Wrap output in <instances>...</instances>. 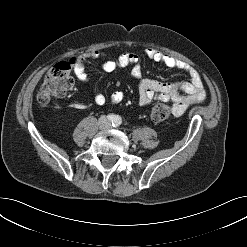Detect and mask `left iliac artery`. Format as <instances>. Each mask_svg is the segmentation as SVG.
Returning a JSON list of instances; mask_svg holds the SVG:
<instances>
[{"label":"left iliac artery","instance_id":"left-iliac-artery-1","mask_svg":"<svg viewBox=\"0 0 247 247\" xmlns=\"http://www.w3.org/2000/svg\"><path fill=\"white\" fill-rule=\"evenodd\" d=\"M121 124V119L116 118L115 122L112 124L114 127H118Z\"/></svg>","mask_w":247,"mask_h":247}]
</instances>
